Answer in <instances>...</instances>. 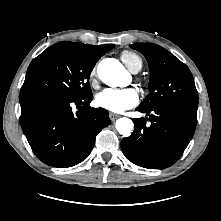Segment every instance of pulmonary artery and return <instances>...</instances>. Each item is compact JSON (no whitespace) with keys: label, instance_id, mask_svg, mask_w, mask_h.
<instances>
[{"label":"pulmonary artery","instance_id":"e3ab8cb5","mask_svg":"<svg viewBox=\"0 0 221 221\" xmlns=\"http://www.w3.org/2000/svg\"><path fill=\"white\" fill-rule=\"evenodd\" d=\"M136 72H138V71H133V73H136Z\"/></svg>","mask_w":221,"mask_h":221}]
</instances>
